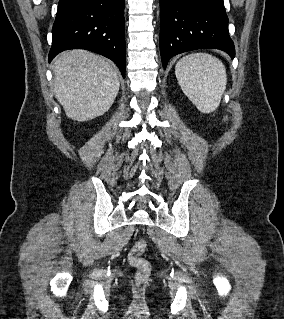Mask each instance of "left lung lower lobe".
Segmentation results:
<instances>
[{"instance_id":"1","label":"left lung lower lobe","mask_w":284,"mask_h":319,"mask_svg":"<svg viewBox=\"0 0 284 319\" xmlns=\"http://www.w3.org/2000/svg\"><path fill=\"white\" fill-rule=\"evenodd\" d=\"M202 48L235 56L223 0H160V51L163 67L177 54Z\"/></svg>"}]
</instances>
